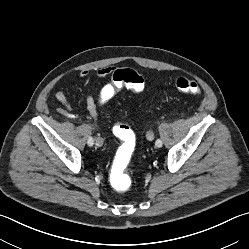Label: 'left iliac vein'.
<instances>
[{
  "instance_id": "4c4485c4",
  "label": "left iliac vein",
  "mask_w": 249,
  "mask_h": 249,
  "mask_svg": "<svg viewBox=\"0 0 249 249\" xmlns=\"http://www.w3.org/2000/svg\"><path fill=\"white\" fill-rule=\"evenodd\" d=\"M147 139H148L149 141H152V140L154 139V134H153V132H148V133H147Z\"/></svg>"
}]
</instances>
